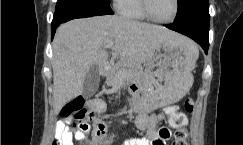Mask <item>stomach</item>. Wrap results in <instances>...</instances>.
I'll return each mask as SVG.
<instances>
[{
    "label": "stomach",
    "mask_w": 243,
    "mask_h": 145,
    "mask_svg": "<svg viewBox=\"0 0 243 145\" xmlns=\"http://www.w3.org/2000/svg\"><path fill=\"white\" fill-rule=\"evenodd\" d=\"M199 52L197 46L189 44L176 47L159 44L148 60L143 73L142 94H128L131 103L154 109L178 102L191 88L194 78L192 71Z\"/></svg>",
    "instance_id": "1"
}]
</instances>
